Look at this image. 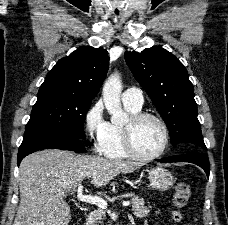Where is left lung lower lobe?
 Listing matches in <instances>:
<instances>
[{
  "label": "left lung lower lobe",
  "instance_id": "obj_1",
  "mask_svg": "<svg viewBox=\"0 0 228 225\" xmlns=\"http://www.w3.org/2000/svg\"><path fill=\"white\" fill-rule=\"evenodd\" d=\"M157 161L161 163H168V162L193 163L203 168L209 178L210 164H209L208 157L205 154V151H197V152H192V153L183 154V155L171 156Z\"/></svg>",
  "mask_w": 228,
  "mask_h": 225
}]
</instances>
